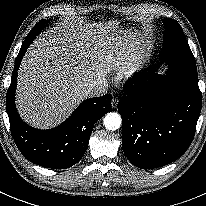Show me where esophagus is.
<instances>
[{
  "instance_id": "34e87169",
  "label": "esophagus",
  "mask_w": 206,
  "mask_h": 206,
  "mask_svg": "<svg viewBox=\"0 0 206 206\" xmlns=\"http://www.w3.org/2000/svg\"><path fill=\"white\" fill-rule=\"evenodd\" d=\"M118 101H119L118 98H116V97L113 98L112 101H111V107L116 108L117 105H118Z\"/></svg>"
}]
</instances>
